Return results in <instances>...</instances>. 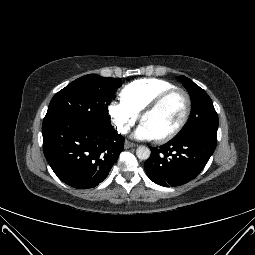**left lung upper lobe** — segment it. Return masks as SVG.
<instances>
[{"mask_svg":"<svg viewBox=\"0 0 255 255\" xmlns=\"http://www.w3.org/2000/svg\"><path fill=\"white\" fill-rule=\"evenodd\" d=\"M190 94L192 113L184 129L174 138L181 140L195 136L217 138L218 116L208 94L189 78L179 77Z\"/></svg>","mask_w":255,"mask_h":255,"instance_id":"left-lung-upper-lobe-1","label":"left lung upper lobe"}]
</instances>
